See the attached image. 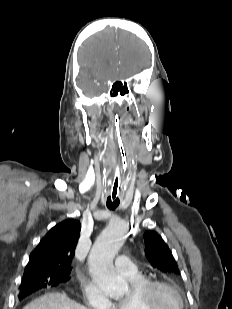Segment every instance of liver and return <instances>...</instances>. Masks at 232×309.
<instances>
[{
	"label": "liver",
	"mask_w": 232,
	"mask_h": 309,
	"mask_svg": "<svg viewBox=\"0 0 232 309\" xmlns=\"http://www.w3.org/2000/svg\"><path fill=\"white\" fill-rule=\"evenodd\" d=\"M23 309H88L71 300L65 293L52 292L36 298Z\"/></svg>",
	"instance_id": "6515ba94"
}]
</instances>
